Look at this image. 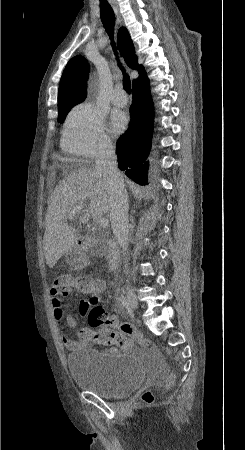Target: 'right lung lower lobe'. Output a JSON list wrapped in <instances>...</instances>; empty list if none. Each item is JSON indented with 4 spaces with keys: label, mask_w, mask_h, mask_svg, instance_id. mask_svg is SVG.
I'll list each match as a JSON object with an SVG mask.
<instances>
[{
    "label": "right lung lower lobe",
    "mask_w": 245,
    "mask_h": 450,
    "mask_svg": "<svg viewBox=\"0 0 245 450\" xmlns=\"http://www.w3.org/2000/svg\"><path fill=\"white\" fill-rule=\"evenodd\" d=\"M131 123L116 145L118 167L138 184L147 183V159L152 140L154 108L149 90V80L144 73L133 83Z\"/></svg>",
    "instance_id": "obj_1"
}]
</instances>
